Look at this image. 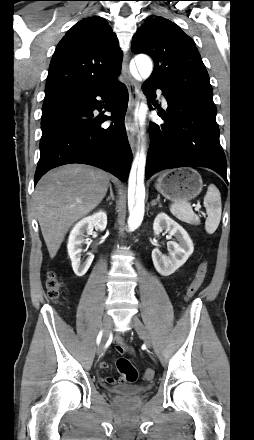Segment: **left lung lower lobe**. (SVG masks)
Listing matches in <instances>:
<instances>
[{
	"mask_svg": "<svg viewBox=\"0 0 254 440\" xmlns=\"http://www.w3.org/2000/svg\"><path fill=\"white\" fill-rule=\"evenodd\" d=\"M156 89L162 90L168 109L159 110L165 124L150 122L149 133L155 140L148 151L146 178L164 169L190 166L210 168L227 182L216 109L191 99L170 98L161 86L150 81L143 85L149 97H155Z\"/></svg>",
	"mask_w": 254,
	"mask_h": 440,
	"instance_id": "0a47b994",
	"label": "left lung lower lobe"
}]
</instances>
